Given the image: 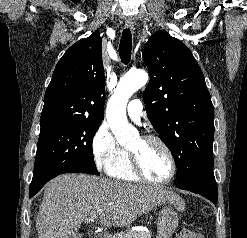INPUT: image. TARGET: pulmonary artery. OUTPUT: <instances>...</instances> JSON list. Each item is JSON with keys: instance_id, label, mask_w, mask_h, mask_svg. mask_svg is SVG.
<instances>
[{"instance_id": "e3ab8cb5", "label": "pulmonary artery", "mask_w": 247, "mask_h": 238, "mask_svg": "<svg viewBox=\"0 0 247 238\" xmlns=\"http://www.w3.org/2000/svg\"><path fill=\"white\" fill-rule=\"evenodd\" d=\"M142 103L139 99H134L127 106V114L133 120L138 122L142 115Z\"/></svg>"}]
</instances>
